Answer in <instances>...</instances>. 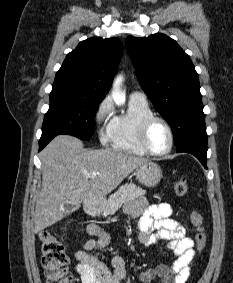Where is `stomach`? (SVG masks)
I'll use <instances>...</instances> for the list:
<instances>
[{
	"instance_id": "obj_1",
	"label": "stomach",
	"mask_w": 233,
	"mask_h": 283,
	"mask_svg": "<svg viewBox=\"0 0 233 283\" xmlns=\"http://www.w3.org/2000/svg\"><path fill=\"white\" fill-rule=\"evenodd\" d=\"M138 181L146 187H155L162 179V170L154 162H147L136 169Z\"/></svg>"
}]
</instances>
